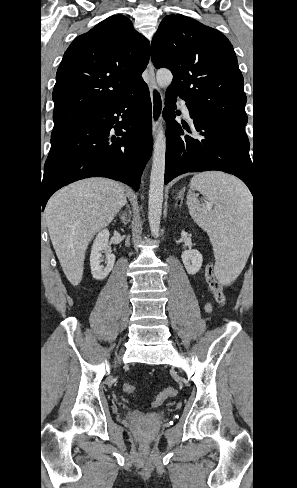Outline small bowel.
<instances>
[{"mask_svg": "<svg viewBox=\"0 0 297 488\" xmlns=\"http://www.w3.org/2000/svg\"><path fill=\"white\" fill-rule=\"evenodd\" d=\"M205 308H206L207 311H210L211 310V304H209V303L206 304Z\"/></svg>", "mask_w": 297, "mask_h": 488, "instance_id": "c3829d8e", "label": "small bowel"}]
</instances>
